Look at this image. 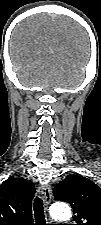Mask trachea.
Segmentation results:
<instances>
[{
    "label": "trachea",
    "instance_id": "1",
    "mask_svg": "<svg viewBox=\"0 0 101 225\" xmlns=\"http://www.w3.org/2000/svg\"><path fill=\"white\" fill-rule=\"evenodd\" d=\"M34 215L36 225H46L43 200L39 197H36V199L34 200Z\"/></svg>",
    "mask_w": 101,
    "mask_h": 225
}]
</instances>
